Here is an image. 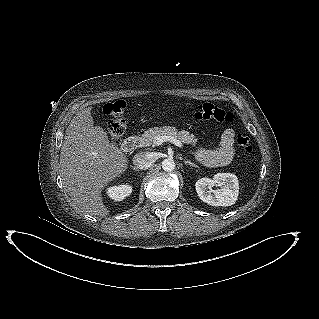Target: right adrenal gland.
<instances>
[{"label":"right adrenal gland","mask_w":319,"mask_h":319,"mask_svg":"<svg viewBox=\"0 0 319 319\" xmlns=\"http://www.w3.org/2000/svg\"><path fill=\"white\" fill-rule=\"evenodd\" d=\"M132 168H133L134 171H138V172L140 171L139 169H137L135 167H132Z\"/></svg>","instance_id":"obj_1"}]
</instances>
